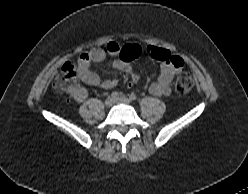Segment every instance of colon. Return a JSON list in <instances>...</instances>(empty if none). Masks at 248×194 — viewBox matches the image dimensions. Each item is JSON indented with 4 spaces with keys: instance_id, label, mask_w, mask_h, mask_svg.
Returning a JSON list of instances; mask_svg holds the SVG:
<instances>
[{
    "instance_id": "5ec220e1",
    "label": "colon",
    "mask_w": 248,
    "mask_h": 194,
    "mask_svg": "<svg viewBox=\"0 0 248 194\" xmlns=\"http://www.w3.org/2000/svg\"><path fill=\"white\" fill-rule=\"evenodd\" d=\"M77 84V71L73 64L65 63L54 80V89L57 92H70ZM194 80L188 73L180 74L175 81V90L179 94H185L192 90Z\"/></svg>"
}]
</instances>
